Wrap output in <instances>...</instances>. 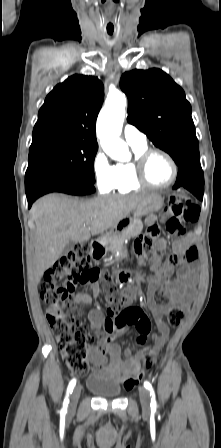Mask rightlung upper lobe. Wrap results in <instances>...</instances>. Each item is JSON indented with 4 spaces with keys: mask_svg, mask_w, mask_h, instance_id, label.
<instances>
[{
    "mask_svg": "<svg viewBox=\"0 0 221 448\" xmlns=\"http://www.w3.org/2000/svg\"><path fill=\"white\" fill-rule=\"evenodd\" d=\"M104 98L94 76L73 75L46 97L38 113L30 148L57 142L97 143L95 124Z\"/></svg>",
    "mask_w": 221,
    "mask_h": 448,
    "instance_id": "1",
    "label": "right lung upper lobe"
}]
</instances>
